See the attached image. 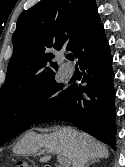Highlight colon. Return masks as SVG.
Returning <instances> with one entry per match:
<instances>
[{"label":"colon","mask_w":125,"mask_h":167,"mask_svg":"<svg viewBox=\"0 0 125 167\" xmlns=\"http://www.w3.org/2000/svg\"><path fill=\"white\" fill-rule=\"evenodd\" d=\"M16 167H33V164L28 160H19Z\"/></svg>","instance_id":"1"}]
</instances>
